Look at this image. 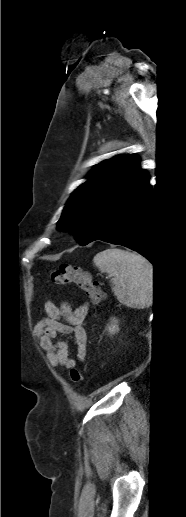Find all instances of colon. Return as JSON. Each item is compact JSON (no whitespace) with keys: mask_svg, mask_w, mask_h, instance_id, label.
<instances>
[{"mask_svg":"<svg viewBox=\"0 0 186 517\" xmlns=\"http://www.w3.org/2000/svg\"><path fill=\"white\" fill-rule=\"evenodd\" d=\"M50 278L57 285H76L86 293L94 304L100 303L104 297L100 283L97 280H92L79 267L62 264L51 271ZM70 377L74 383H80L83 380V373L80 369L72 367Z\"/></svg>","mask_w":186,"mask_h":517,"instance_id":"5ec220e1","label":"colon"}]
</instances>
